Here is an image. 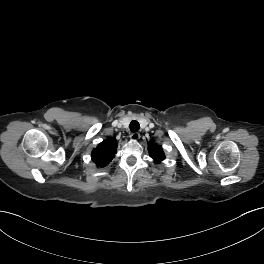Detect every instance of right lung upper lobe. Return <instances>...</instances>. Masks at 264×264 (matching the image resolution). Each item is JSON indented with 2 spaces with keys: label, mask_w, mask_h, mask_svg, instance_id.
<instances>
[{
  "label": "right lung upper lobe",
  "mask_w": 264,
  "mask_h": 264,
  "mask_svg": "<svg viewBox=\"0 0 264 264\" xmlns=\"http://www.w3.org/2000/svg\"><path fill=\"white\" fill-rule=\"evenodd\" d=\"M116 150L117 142L115 139L104 140L92 151V160L97 167H105L114 158Z\"/></svg>",
  "instance_id": "1"
}]
</instances>
